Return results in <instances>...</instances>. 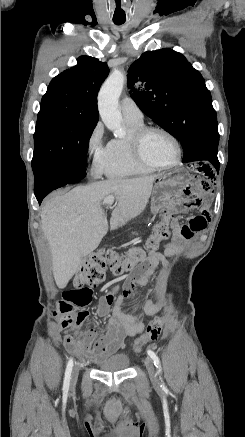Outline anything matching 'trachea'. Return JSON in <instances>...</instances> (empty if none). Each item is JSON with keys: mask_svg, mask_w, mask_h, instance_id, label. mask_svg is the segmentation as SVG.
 Instances as JSON below:
<instances>
[{"mask_svg": "<svg viewBox=\"0 0 245 437\" xmlns=\"http://www.w3.org/2000/svg\"><path fill=\"white\" fill-rule=\"evenodd\" d=\"M114 23L117 24V25H121V24L124 23V21H114Z\"/></svg>", "mask_w": 245, "mask_h": 437, "instance_id": "3493384b", "label": "trachea"}]
</instances>
